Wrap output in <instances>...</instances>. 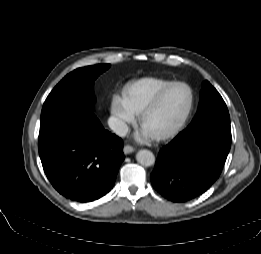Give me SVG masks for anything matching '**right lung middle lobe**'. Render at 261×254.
<instances>
[{
    "label": "right lung middle lobe",
    "mask_w": 261,
    "mask_h": 254,
    "mask_svg": "<svg viewBox=\"0 0 261 254\" xmlns=\"http://www.w3.org/2000/svg\"><path fill=\"white\" fill-rule=\"evenodd\" d=\"M109 67L110 64H99L74 70L55 86L44 104L79 100L92 109L95 102L93 94L94 81Z\"/></svg>",
    "instance_id": "1"
}]
</instances>
